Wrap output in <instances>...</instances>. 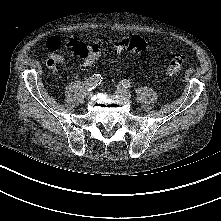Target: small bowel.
Segmentation results:
<instances>
[{"instance_id": "small-bowel-1", "label": "small bowel", "mask_w": 221, "mask_h": 221, "mask_svg": "<svg viewBox=\"0 0 221 221\" xmlns=\"http://www.w3.org/2000/svg\"><path fill=\"white\" fill-rule=\"evenodd\" d=\"M46 46L50 50L46 66L55 72L58 66H63L66 62L65 57L61 53H58V50L61 49L60 41L56 37H51L47 40ZM65 47L78 56L81 55V50L88 48L84 43L74 39H68Z\"/></svg>"}]
</instances>
